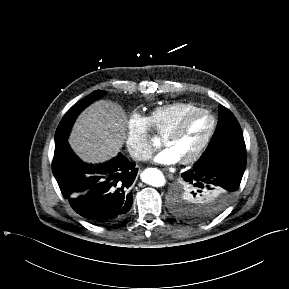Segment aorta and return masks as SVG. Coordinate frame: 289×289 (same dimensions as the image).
<instances>
[{
	"mask_svg": "<svg viewBox=\"0 0 289 289\" xmlns=\"http://www.w3.org/2000/svg\"><path fill=\"white\" fill-rule=\"evenodd\" d=\"M141 179L146 184L153 187H161L165 184V177L163 173L156 168H148L141 174Z\"/></svg>",
	"mask_w": 289,
	"mask_h": 289,
	"instance_id": "762f6f07",
	"label": "aorta"
}]
</instances>
